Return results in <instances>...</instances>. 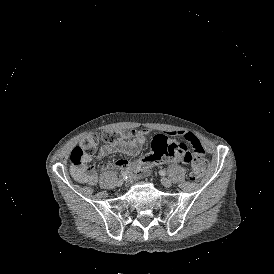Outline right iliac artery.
I'll list each match as a JSON object with an SVG mask.
<instances>
[{"mask_svg": "<svg viewBox=\"0 0 274 274\" xmlns=\"http://www.w3.org/2000/svg\"><path fill=\"white\" fill-rule=\"evenodd\" d=\"M121 176H122L123 178H126V177L128 176V172H127V171L122 172Z\"/></svg>", "mask_w": 274, "mask_h": 274, "instance_id": "right-iliac-artery-1", "label": "right iliac artery"}]
</instances>
